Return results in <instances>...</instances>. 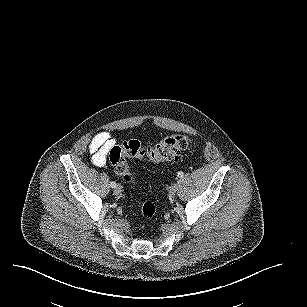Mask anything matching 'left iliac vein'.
<instances>
[{
    "label": "left iliac vein",
    "instance_id": "4c4485c4",
    "mask_svg": "<svg viewBox=\"0 0 307 307\" xmlns=\"http://www.w3.org/2000/svg\"><path fill=\"white\" fill-rule=\"evenodd\" d=\"M177 189H178V184L177 183H173L170 188H169V192L171 194H175L177 192Z\"/></svg>",
    "mask_w": 307,
    "mask_h": 307
}]
</instances>
